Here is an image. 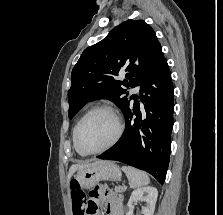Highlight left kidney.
Returning <instances> with one entry per match:
<instances>
[{
	"label": "left kidney",
	"instance_id": "obj_1",
	"mask_svg": "<svg viewBox=\"0 0 223 215\" xmlns=\"http://www.w3.org/2000/svg\"><path fill=\"white\" fill-rule=\"evenodd\" d=\"M157 195L158 191L156 187H151V185H148V187H139V189H134L127 203L129 211H127L126 215H133V201H146L147 207H142V213H144V215H153Z\"/></svg>",
	"mask_w": 223,
	"mask_h": 215
}]
</instances>
